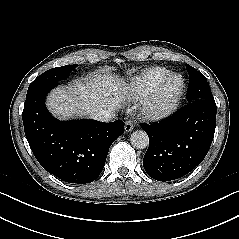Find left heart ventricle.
<instances>
[{
	"label": "left heart ventricle",
	"instance_id": "obj_1",
	"mask_svg": "<svg viewBox=\"0 0 239 239\" xmlns=\"http://www.w3.org/2000/svg\"><path fill=\"white\" fill-rule=\"evenodd\" d=\"M179 82L177 80L171 82L165 89L164 93L161 95V100L166 99L172 92H174L178 87Z\"/></svg>",
	"mask_w": 239,
	"mask_h": 239
}]
</instances>
